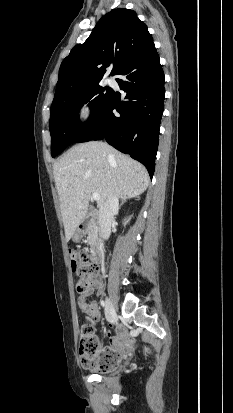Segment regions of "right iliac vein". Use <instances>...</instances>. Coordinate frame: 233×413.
<instances>
[{"instance_id":"1","label":"right iliac vein","mask_w":233,"mask_h":413,"mask_svg":"<svg viewBox=\"0 0 233 413\" xmlns=\"http://www.w3.org/2000/svg\"><path fill=\"white\" fill-rule=\"evenodd\" d=\"M105 316L108 321H113L116 317L114 307L110 300L107 299L105 306Z\"/></svg>"}]
</instances>
